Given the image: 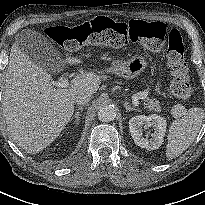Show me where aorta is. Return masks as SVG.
Wrapping results in <instances>:
<instances>
[{
	"mask_svg": "<svg viewBox=\"0 0 205 205\" xmlns=\"http://www.w3.org/2000/svg\"><path fill=\"white\" fill-rule=\"evenodd\" d=\"M116 117V111L111 105L101 107L98 111V118L102 122H109Z\"/></svg>",
	"mask_w": 205,
	"mask_h": 205,
	"instance_id": "aorta-1",
	"label": "aorta"
}]
</instances>
